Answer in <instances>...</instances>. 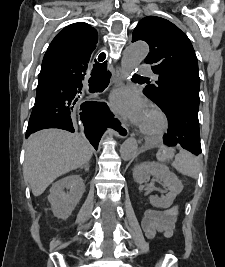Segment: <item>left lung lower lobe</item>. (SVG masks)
<instances>
[{
	"label": "left lung lower lobe",
	"mask_w": 225,
	"mask_h": 267,
	"mask_svg": "<svg viewBox=\"0 0 225 267\" xmlns=\"http://www.w3.org/2000/svg\"><path fill=\"white\" fill-rule=\"evenodd\" d=\"M198 109L199 90L196 88L184 87L172 95L163 111L169 122L168 132L163 137L166 145H180L195 155L201 153Z\"/></svg>",
	"instance_id": "left-lung-lower-lobe-1"
}]
</instances>
